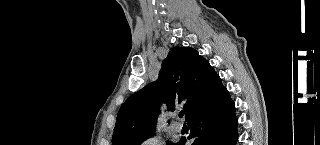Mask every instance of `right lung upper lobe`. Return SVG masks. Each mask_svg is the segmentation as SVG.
Segmentation results:
<instances>
[{"label":"right lung upper lobe","mask_w":320,"mask_h":145,"mask_svg":"<svg viewBox=\"0 0 320 145\" xmlns=\"http://www.w3.org/2000/svg\"><path fill=\"white\" fill-rule=\"evenodd\" d=\"M217 77L198 51L191 47L172 48L163 61L158 80L130 96L120 108L112 145H131L153 133L162 102L169 111L183 104L187 120L205 106Z\"/></svg>","instance_id":"1"}]
</instances>
